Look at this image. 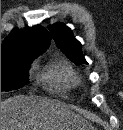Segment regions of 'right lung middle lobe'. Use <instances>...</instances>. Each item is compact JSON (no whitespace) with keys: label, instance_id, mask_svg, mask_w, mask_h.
<instances>
[{"label":"right lung middle lobe","instance_id":"obj_1","mask_svg":"<svg viewBox=\"0 0 123 130\" xmlns=\"http://www.w3.org/2000/svg\"><path fill=\"white\" fill-rule=\"evenodd\" d=\"M39 55H20L1 60V91L19 89L27 84L29 67Z\"/></svg>","mask_w":123,"mask_h":130}]
</instances>
